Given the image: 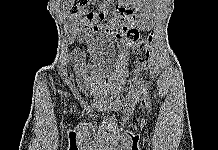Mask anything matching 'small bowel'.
Wrapping results in <instances>:
<instances>
[{
  "label": "small bowel",
  "instance_id": "obj_1",
  "mask_svg": "<svg viewBox=\"0 0 218 150\" xmlns=\"http://www.w3.org/2000/svg\"><path fill=\"white\" fill-rule=\"evenodd\" d=\"M96 1L86 0L72 12L70 20L74 35L89 30L120 39L137 31V26L147 29L157 0H125L112 13L110 7L114 0H103L98 10L92 11L90 3ZM110 14L111 18L103 22Z\"/></svg>",
  "mask_w": 218,
  "mask_h": 150
}]
</instances>
